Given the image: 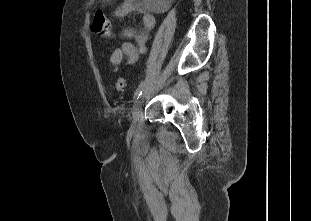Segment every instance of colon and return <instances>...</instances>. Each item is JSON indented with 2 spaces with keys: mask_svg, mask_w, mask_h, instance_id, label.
<instances>
[{
  "mask_svg": "<svg viewBox=\"0 0 311 221\" xmlns=\"http://www.w3.org/2000/svg\"><path fill=\"white\" fill-rule=\"evenodd\" d=\"M95 23L92 30L97 36L110 37L114 32V26L101 12L95 14ZM126 88V80L124 77H118L113 83V89L116 91H124Z\"/></svg>",
  "mask_w": 311,
  "mask_h": 221,
  "instance_id": "5ec220e1",
  "label": "colon"
}]
</instances>
